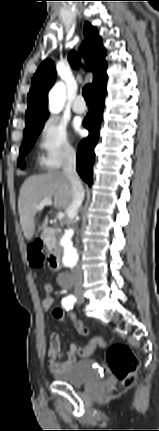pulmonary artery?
<instances>
[{
	"label": "pulmonary artery",
	"mask_w": 159,
	"mask_h": 431,
	"mask_svg": "<svg viewBox=\"0 0 159 431\" xmlns=\"http://www.w3.org/2000/svg\"><path fill=\"white\" fill-rule=\"evenodd\" d=\"M72 109L75 113L82 114L86 111V105L82 95L76 96L73 101Z\"/></svg>",
	"instance_id": "1"
}]
</instances>
